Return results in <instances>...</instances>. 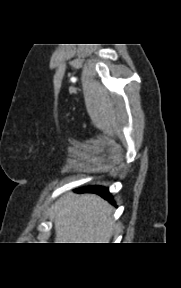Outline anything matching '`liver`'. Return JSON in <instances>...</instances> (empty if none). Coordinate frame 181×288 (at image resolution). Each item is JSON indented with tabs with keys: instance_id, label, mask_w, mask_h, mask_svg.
<instances>
[{
	"instance_id": "1",
	"label": "liver",
	"mask_w": 181,
	"mask_h": 288,
	"mask_svg": "<svg viewBox=\"0 0 181 288\" xmlns=\"http://www.w3.org/2000/svg\"><path fill=\"white\" fill-rule=\"evenodd\" d=\"M113 207L95 194L67 195L54 216L56 243H109Z\"/></svg>"
}]
</instances>
